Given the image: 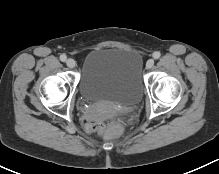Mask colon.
<instances>
[{
	"label": "colon",
	"mask_w": 219,
	"mask_h": 174,
	"mask_svg": "<svg viewBox=\"0 0 219 174\" xmlns=\"http://www.w3.org/2000/svg\"><path fill=\"white\" fill-rule=\"evenodd\" d=\"M86 130L88 132H96L111 139L122 132V124L117 120H114L107 125L102 122H89L86 124Z\"/></svg>",
	"instance_id": "5ec220e1"
}]
</instances>
